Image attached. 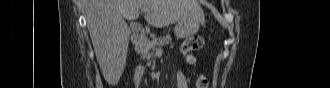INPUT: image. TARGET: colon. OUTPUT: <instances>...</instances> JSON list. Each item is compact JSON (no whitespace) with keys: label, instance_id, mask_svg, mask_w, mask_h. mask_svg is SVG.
Returning a JSON list of instances; mask_svg holds the SVG:
<instances>
[{"label":"colon","instance_id":"1","mask_svg":"<svg viewBox=\"0 0 330 88\" xmlns=\"http://www.w3.org/2000/svg\"><path fill=\"white\" fill-rule=\"evenodd\" d=\"M204 46V39L195 35L188 37L182 44V52L186 56L188 62L193 63V54ZM208 82L204 75H199L197 79V88H207Z\"/></svg>","mask_w":330,"mask_h":88}]
</instances>
